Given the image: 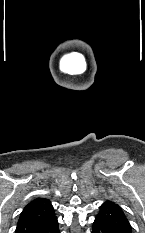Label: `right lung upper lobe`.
Returning <instances> with one entry per match:
<instances>
[{
	"label": "right lung upper lobe",
	"mask_w": 145,
	"mask_h": 233,
	"mask_svg": "<svg viewBox=\"0 0 145 233\" xmlns=\"http://www.w3.org/2000/svg\"><path fill=\"white\" fill-rule=\"evenodd\" d=\"M56 218L48 199L36 198L23 209L15 233H35Z\"/></svg>",
	"instance_id": "1"
}]
</instances>
